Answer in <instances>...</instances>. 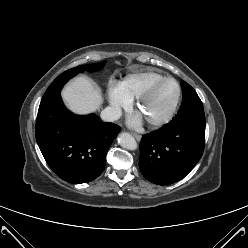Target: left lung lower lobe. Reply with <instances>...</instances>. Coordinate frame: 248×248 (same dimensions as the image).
<instances>
[{
    "label": "left lung lower lobe",
    "instance_id": "1",
    "mask_svg": "<svg viewBox=\"0 0 248 248\" xmlns=\"http://www.w3.org/2000/svg\"><path fill=\"white\" fill-rule=\"evenodd\" d=\"M205 141L204 111L176 116L140 142L139 167L143 176L158 185L184 178L200 160Z\"/></svg>",
    "mask_w": 248,
    "mask_h": 248
}]
</instances>
